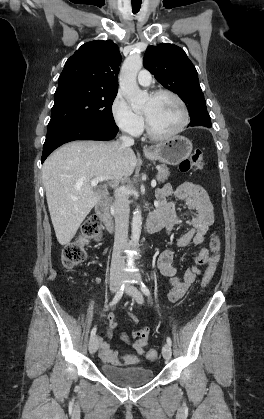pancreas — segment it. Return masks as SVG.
Returning <instances> with one entry per match:
<instances>
[{
    "label": "pancreas",
    "mask_w": 264,
    "mask_h": 419,
    "mask_svg": "<svg viewBox=\"0 0 264 419\" xmlns=\"http://www.w3.org/2000/svg\"><path fill=\"white\" fill-rule=\"evenodd\" d=\"M169 175L170 172L166 165H161L158 167L157 180L159 182H164L165 180H167Z\"/></svg>",
    "instance_id": "1"
}]
</instances>
